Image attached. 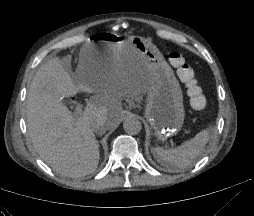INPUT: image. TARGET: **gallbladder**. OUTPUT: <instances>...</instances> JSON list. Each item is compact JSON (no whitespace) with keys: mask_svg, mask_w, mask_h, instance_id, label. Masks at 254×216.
<instances>
[{"mask_svg":"<svg viewBox=\"0 0 254 216\" xmlns=\"http://www.w3.org/2000/svg\"><path fill=\"white\" fill-rule=\"evenodd\" d=\"M62 64H63L65 67L68 66V63H67V61H66V58L63 59Z\"/></svg>","mask_w":254,"mask_h":216,"instance_id":"bac80fb5","label":"gallbladder"}]
</instances>
